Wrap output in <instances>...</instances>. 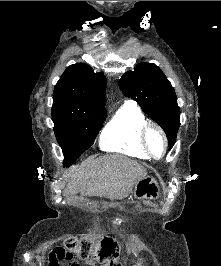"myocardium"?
I'll return each instance as SVG.
<instances>
[{"label": "myocardium", "instance_id": "1", "mask_svg": "<svg viewBox=\"0 0 221 266\" xmlns=\"http://www.w3.org/2000/svg\"><path fill=\"white\" fill-rule=\"evenodd\" d=\"M152 132L158 134L162 140L163 148H162V152L160 155L154 154L153 151L151 150V147L149 144V137ZM141 142L147 154L153 159H162L168 151L167 136L164 133V131L158 125L154 123H146L143 126L142 131H141Z\"/></svg>", "mask_w": 221, "mask_h": 266}]
</instances>
